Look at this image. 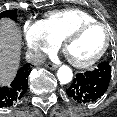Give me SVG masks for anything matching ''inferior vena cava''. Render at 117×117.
Wrapping results in <instances>:
<instances>
[{"label":"inferior vena cava","mask_w":117,"mask_h":117,"mask_svg":"<svg viewBox=\"0 0 117 117\" xmlns=\"http://www.w3.org/2000/svg\"><path fill=\"white\" fill-rule=\"evenodd\" d=\"M26 59L31 64L39 65L46 61V54L39 50H32L27 53Z\"/></svg>","instance_id":"602c4592"}]
</instances>
